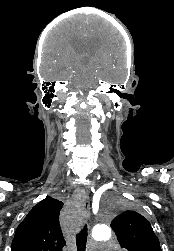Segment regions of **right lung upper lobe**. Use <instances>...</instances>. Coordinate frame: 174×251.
<instances>
[{
  "mask_svg": "<svg viewBox=\"0 0 174 251\" xmlns=\"http://www.w3.org/2000/svg\"><path fill=\"white\" fill-rule=\"evenodd\" d=\"M63 203L46 197L17 227L11 251H62L66 242L59 224Z\"/></svg>",
  "mask_w": 174,
  "mask_h": 251,
  "instance_id": "1",
  "label": "right lung upper lobe"
}]
</instances>
